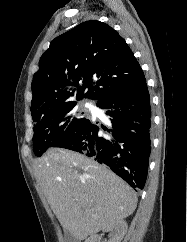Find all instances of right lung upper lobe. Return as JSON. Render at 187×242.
Instances as JSON below:
<instances>
[{
	"mask_svg": "<svg viewBox=\"0 0 187 242\" xmlns=\"http://www.w3.org/2000/svg\"><path fill=\"white\" fill-rule=\"evenodd\" d=\"M145 81L125 40L107 24L91 20L56 37L41 56L32 81V117L72 98L99 101Z\"/></svg>",
	"mask_w": 187,
	"mask_h": 242,
	"instance_id": "cb5924a9",
	"label": "right lung upper lobe"
}]
</instances>
